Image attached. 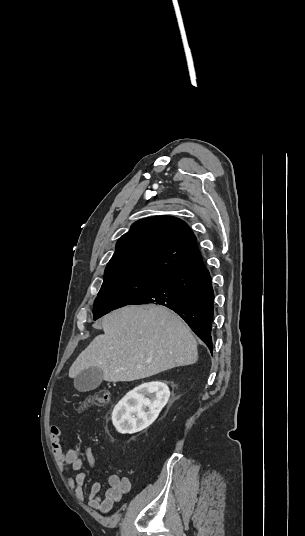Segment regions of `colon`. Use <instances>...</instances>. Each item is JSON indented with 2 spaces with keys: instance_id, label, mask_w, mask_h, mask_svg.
Wrapping results in <instances>:
<instances>
[{
  "instance_id": "1",
  "label": "colon",
  "mask_w": 305,
  "mask_h": 536,
  "mask_svg": "<svg viewBox=\"0 0 305 536\" xmlns=\"http://www.w3.org/2000/svg\"><path fill=\"white\" fill-rule=\"evenodd\" d=\"M109 401V393L106 390H101L96 393L88 395L81 403L78 411H84L90 406H102ZM79 450H84V447H79Z\"/></svg>"
}]
</instances>
